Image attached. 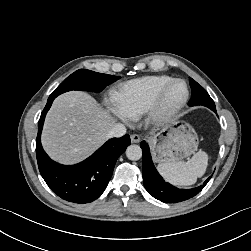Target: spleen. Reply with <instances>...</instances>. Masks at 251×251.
Returning <instances> with one entry per match:
<instances>
[{
    "label": "spleen",
    "mask_w": 251,
    "mask_h": 251,
    "mask_svg": "<svg viewBox=\"0 0 251 251\" xmlns=\"http://www.w3.org/2000/svg\"><path fill=\"white\" fill-rule=\"evenodd\" d=\"M207 165V153L199 151L188 161L160 163L157 168L166 181L178 186H188L204 175Z\"/></svg>",
    "instance_id": "1"
}]
</instances>
